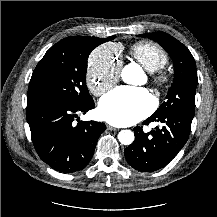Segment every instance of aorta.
Instances as JSON below:
<instances>
[{
  "instance_id": "762f6f07",
  "label": "aorta",
  "mask_w": 217,
  "mask_h": 217,
  "mask_svg": "<svg viewBox=\"0 0 217 217\" xmlns=\"http://www.w3.org/2000/svg\"><path fill=\"white\" fill-rule=\"evenodd\" d=\"M142 70L139 65L130 63L122 70V79L127 84H137ZM121 144L130 145L134 141V133L131 130H122L118 133Z\"/></svg>"
}]
</instances>
